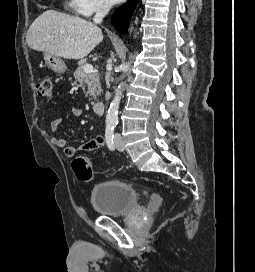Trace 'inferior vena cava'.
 <instances>
[{"label": "inferior vena cava", "instance_id": "1", "mask_svg": "<svg viewBox=\"0 0 255 272\" xmlns=\"http://www.w3.org/2000/svg\"><path fill=\"white\" fill-rule=\"evenodd\" d=\"M110 8L111 4L108 0H101L97 7L96 14L93 18L94 23H101L103 18L109 12Z\"/></svg>", "mask_w": 255, "mask_h": 272}]
</instances>
